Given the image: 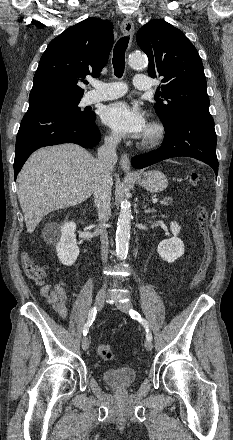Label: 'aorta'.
Here are the masks:
<instances>
[{"instance_id": "1", "label": "aorta", "mask_w": 233, "mask_h": 440, "mask_svg": "<svg viewBox=\"0 0 233 440\" xmlns=\"http://www.w3.org/2000/svg\"><path fill=\"white\" fill-rule=\"evenodd\" d=\"M129 65L134 69L146 67L147 59L141 53L132 54L129 58ZM131 205L128 200L121 202V209L117 221L116 231V254L119 258H124L128 254L130 229H131Z\"/></svg>"}]
</instances>
